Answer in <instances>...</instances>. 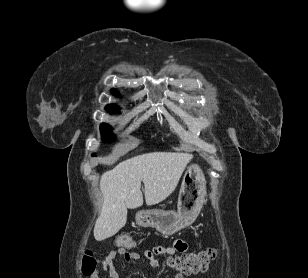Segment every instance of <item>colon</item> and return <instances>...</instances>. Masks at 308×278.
Segmentation results:
<instances>
[{
    "instance_id": "colon-1",
    "label": "colon",
    "mask_w": 308,
    "mask_h": 278,
    "mask_svg": "<svg viewBox=\"0 0 308 278\" xmlns=\"http://www.w3.org/2000/svg\"><path fill=\"white\" fill-rule=\"evenodd\" d=\"M116 244L124 249L136 247L134 239L129 235H121L116 239ZM214 249H206L198 252L183 253L178 256H171L169 264L180 274L189 275L205 271L209 264L215 259ZM99 260L91 251H86L82 260V272L87 276L97 273Z\"/></svg>"
}]
</instances>
